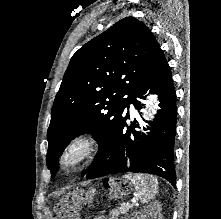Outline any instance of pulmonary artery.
<instances>
[{
	"label": "pulmonary artery",
	"mask_w": 221,
	"mask_h": 219,
	"mask_svg": "<svg viewBox=\"0 0 221 219\" xmlns=\"http://www.w3.org/2000/svg\"><path fill=\"white\" fill-rule=\"evenodd\" d=\"M130 107L133 109V105L132 104H130Z\"/></svg>",
	"instance_id": "e3ab8cb5"
}]
</instances>
